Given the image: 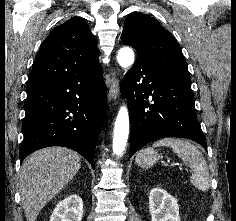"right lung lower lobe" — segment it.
Returning <instances> with one entry per match:
<instances>
[{"label":"right lung lower lobe","instance_id":"98d812e1","mask_svg":"<svg viewBox=\"0 0 236 221\" xmlns=\"http://www.w3.org/2000/svg\"><path fill=\"white\" fill-rule=\"evenodd\" d=\"M20 161L31 152L63 146L80 153L94 168L107 93L102 71L28 87Z\"/></svg>","mask_w":236,"mask_h":221}]
</instances>
